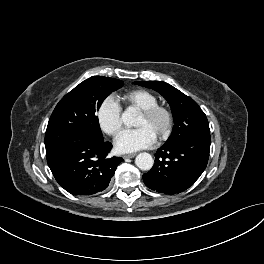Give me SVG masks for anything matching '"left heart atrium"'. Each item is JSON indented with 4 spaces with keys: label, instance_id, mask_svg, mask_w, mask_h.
<instances>
[{
    "label": "left heart atrium",
    "instance_id": "39dd6f15",
    "mask_svg": "<svg viewBox=\"0 0 264 264\" xmlns=\"http://www.w3.org/2000/svg\"><path fill=\"white\" fill-rule=\"evenodd\" d=\"M156 136L146 127L123 131L115 141L119 153H133L154 144Z\"/></svg>",
    "mask_w": 264,
    "mask_h": 264
}]
</instances>
